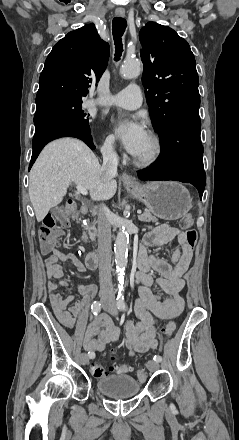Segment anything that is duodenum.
<instances>
[{"mask_svg":"<svg viewBox=\"0 0 239 440\" xmlns=\"http://www.w3.org/2000/svg\"><path fill=\"white\" fill-rule=\"evenodd\" d=\"M89 212H90V208H89L88 205H83V206L81 207V213H82L83 215H87V214H89ZM88 238H89V231H88L87 229H85V230L83 231V234H82V239H83L84 241H87ZM85 262H86V266H87L89 269H94V268H96L97 265H98V256H97L96 252H94V251H89V252L87 253V255H86Z\"/></svg>","mask_w":239,"mask_h":440,"instance_id":"1","label":"duodenum"}]
</instances>
